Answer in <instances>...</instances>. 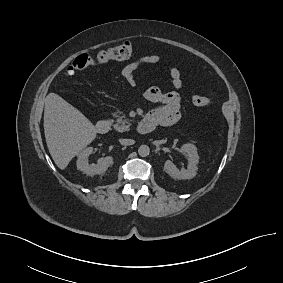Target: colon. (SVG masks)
<instances>
[{
  "instance_id": "1",
  "label": "colon",
  "mask_w": 283,
  "mask_h": 283,
  "mask_svg": "<svg viewBox=\"0 0 283 283\" xmlns=\"http://www.w3.org/2000/svg\"><path fill=\"white\" fill-rule=\"evenodd\" d=\"M133 53V45L131 42L126 41L121 44L110 47L106 50L100 51L96 56L89 54H81L77 56L70 64L66 71L67 76H72L78 71L85 70L89 67L96 65H103L111 61H122L129 58ZM192 103L198 107H206L212 105L213 101L210 98L193 95Z\"/></svg>"
}]
</instances>
